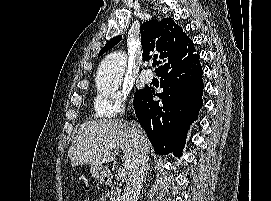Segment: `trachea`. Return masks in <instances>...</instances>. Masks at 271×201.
I'll use <instances>...</instances> for the list:
<instances>
[{
    "label": "trachea",
    "instance_id": "trachea-1",
    "mask_svg": "<svg viewBox=\"0 0 271 201\" xmlns=\"http://www.w3.org/2000/svg\"><path fill=\"white\" fill-rule=\"evenodd\" d=\"M156 65H158V62H157V61H154V62L152 63V66H153V67H156Z\"/></svg>",
    "mask_w": 271,
    "mask_h": 201
}]
</instances>
